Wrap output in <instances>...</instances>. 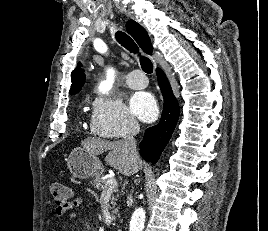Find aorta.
Masks as SVG:
<instances>
[{"instance_id": "1", "label": "aorta", "mask_w": 268, "mask_h": 231, "mask_svg": "<svg viewBox=\"0 0 268 231\" xmlns=\"http://www.w3.org/2000/svg\"><path fill=\"white\" fill-rule=\"evenodd\" d=\"M115 70L108 69L107 79L101 82L99 91L103 94H108L114 83ZM145 223V210L142 207L136 208L132 214L130 221V231H142Z\"/></svg>"}]
</instances>
